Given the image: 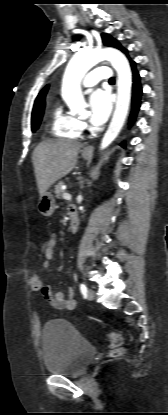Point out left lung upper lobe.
Returning a JSON list of instances; mask_svg holds the SVG:
<instances>
[{
	"instance_id": "obj_1",
	"label": "left lung upper lobe",
	"mask_w": 168,
	"mask_h": 415,
	"mask_svg": "<svg viewBox=\"0 0 168 415\" xmlns=\"http://www.w3.org/2000/svg\"><path fill=\"white\" fill-rule=\"evenodd\" d=\"M102 40H103L104 45L118 48V49L122 50L124 53H127V50H125L119 44V42L117 40H115L114 38H112L110 35L103 33L102 34Z\"/></svg>"
}]
</instances>
